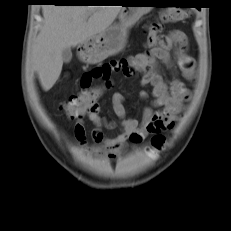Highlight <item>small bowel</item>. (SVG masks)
Wrapping results in <instances>:
<instances>
[{"label": "small bowel", "instance_id": "obj_1", "mask_svg": "<svg viewBox=\"0 0 231 231\" xmlns=\"http://www.w3.org/2000/svg\"><path fill=\"white\" fill-rule=\"evenodd\" d=\"M159 31L158 25L153 27L145 52L97 65L81 77V88L87 90L94 80L110 84L114 73L129 77L137 71L142 75L141 84L152 87V101L143 109L141 120L127 116L125 97L121 93L112 95V108L119 119L121 130L116 137L105 136L103 127L109 125L101 117L98 105L84 115L95 126L91 132L93 150L103 154L108 160L116 159L126 149L128 141L139 143L149 134H158L173 128L184 103L190 98V92L185 85L178 78L166 80L160 68V64H163L171 70L178 69L186 79L194 77L195 63L186 51L187 37L181 31L159 37ZM140 96L147 98L149 94L142 91ZM74 135L81 144L85 143L86 131L82 117L74 126Z\"/></svg>", "mask_w": 231, "mask_h": 231}]
</instances>
